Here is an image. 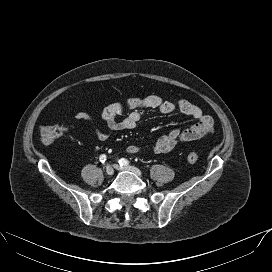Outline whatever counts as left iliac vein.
<instances>
[{
	"instance_id": "1",
	"label": "left iliac vein",
	"mask_w": 272,
	"mask_h": 272,
	"mask_svg": "<svg viewBox=\"0 0 272 272\" xmlns=\"http://www.w3.org/2000/svg\"><path fill=\"white\" fill-rule=\"evenodd\" d=\"M113 166L117 170L130 171V172L136 174L137 176H140V177L142 176V172L136 167H133V166H121V165H118V164H114Z\"/></svg>"
}]
</instances>
